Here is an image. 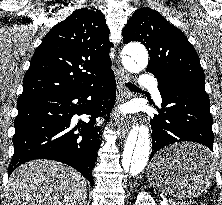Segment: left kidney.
<instances>
[{"mask_svg":"<svg viewBox=\"0 0 222 205\" xmlns=\"http://www.w3.org/2000/svg\"><path fill=\"white\" fill-rule=\"evenodd\" d=\"M135 205H156L153 198L147 192H140L137 196Z\"/></svg>","mask_w":222,"mask_h":205,"instance_id":"left-kidney-1","label":"left kidney"}]
</instances>
